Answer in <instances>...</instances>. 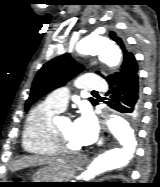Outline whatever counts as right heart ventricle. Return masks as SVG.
Returning a JSON list of instances; mask_svg holds the SVG:
<instances>
[{"instance_id":"e07e8e85","label":"right heart ventricle","mask_w":160,"mask_h":187,"mask_svg":"<svg viewBox=\"0 0 160 187\" xmlns=\"http://www.w3.org/2000/svg\"><path fill=\"white\" fill-rule=\"evenodd\" d=\"M61 109L47 100L37 104L29 112L22 133V147L25 152L51 157L59 154L53 139V118Z\"/></svg>"}]
</instances>
